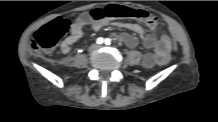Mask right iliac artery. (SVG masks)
I'll return each instance as SVG.
<instances>
[{"mask_svg": "<svg viewBox=\"0 0 218 122\" xmlns=\"http://www.w3.org/2000/svg\"><path fill=\"white\" fill-rule=\"evenodd\" d=\"M96 42H97L98 44H102V43L104 42V39H103L102 37H100V38H98V39L96 40Z\"/></svg>", "mask_w": 218, "mask_h": 122, "instance_id": "right-iliac-artery-1", "label": "right iliac artery"}]
</instances>
